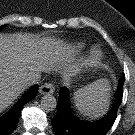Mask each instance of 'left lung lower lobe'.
<instances>
[{
	"mask_svg": "<svg viewBox=\"0 0 135 135\" xmlns=\"http://www.w3.org/2000/svg\"><path fill=\"white\" fill-rule=\"evenodd\" d=\"M124 75L120 78L114 105L103 119L96 122L81 120L71 108L69 92L66 87L59 91L57 114L52 119V127L56 135H105L114 124L117 110L123 96Z\"/></svg>",
	"mask_w": 135,
	"mask_h": 135,
	"instance_id": "1",
	"label": "left lung lower lobe"
}]
</instances>
